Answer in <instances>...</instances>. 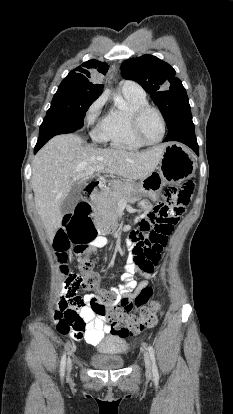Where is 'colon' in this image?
<instances>
[{"label": "colon", "mask_w": 233, "mask_h": 414, "mask_svg": "<svg viewBox=\"0 0 233 414\" xmlns=\"http://www.w3.org/2000/svg\"><path fill=\"white\" fill-rule=\"evenodd\" d=\"M192 193L191 181L186 182L180 191L174 187L167 188L166 196L169 204L142 217L139 220V229L129 234L132 259L141 270L152 272L158 264L160 252L175 222L173 208L186 206ZM95 238L90 209L88 205L82 203L77 206L73 214L65 218L63 228L56 234L54 248L59 261L66 262V251L71 244L82 250L84 257L78 263L79 271L85 276L82 288L95 291L91 299L104 303V307L108 310L104 321L112 333L127 336L139 332L144 327H153L161 314V308L158 302H150L153 294L151 287L147 286L131 299L119 298L114 291L100 286V279L94 272V262L91 259L93 253L91 243ZM61 271L67 278L68 269L65 265L61 266Z\"/></svg>", "instance_id": "5ec220e1"}]
</instances>
